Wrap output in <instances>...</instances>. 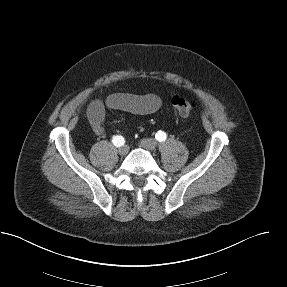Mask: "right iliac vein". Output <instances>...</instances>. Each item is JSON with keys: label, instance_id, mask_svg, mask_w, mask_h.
<instances>
[{"label": "right iliac vein", "instance_id": "right-iliac-vein-1", "mask_svg": "<svg viewBox=\"0 0 287 287\" xmlns=\"http://www.w3.org/2000/svg\"><path fill=\"white\" fill-rule=\"evenodd\" d=\"M128 151H129V147L127 145L120 147L118 150L119 154L122 156L126 155Z\"/></svg>", "mask_w": 287, "mask_h": 287}]
</instances>
